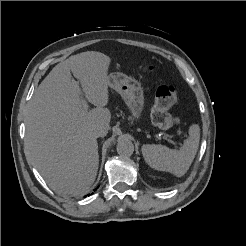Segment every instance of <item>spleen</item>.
Returning <instances> with one entry per match:
<instances>
[{
	"instance_id": "obj_1",
	"label": "spleen",
	"mask_w": 246,
	"mask_h": 246,
	"mask_svg": "<svg viewBox=\"0 0 246 246\" xmlns=\"http://www.w3.org/2000/svg\"><path fill=\"white\" fill-rule=\"evenodd\" d=\"M199 141L200 127L193 124L189 128V137L179 150L169 149L163 145L145 144L142 146V154L151 168L181 177L192 164L199 147Z\"/></svg>"
}]
</instances>
